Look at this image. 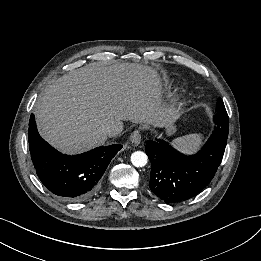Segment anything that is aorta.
<instances>
[{
    "mask_svg": "<svg viewBox=\"0 0 261 261\" xmlns=\"http://www.w3.org/2000/svg\"><path fill=\"white\" fill-rule=\"evenodd\" d=\"M148 157L142 151H136L131 155V162L135 167H144L147 164Z\"/></svg>",
    "mask_w": 261,
    "mask_h": 261,
    "instance_id": "aorta-1",
    "label": "aorta"
}]
</instances>
